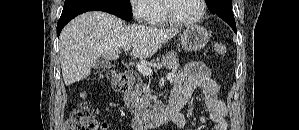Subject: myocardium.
<instances>
[{
	"label": "myocardium",
	"instance_id": "f54148a6",
	"mask_svg": "<svg viewBox=\"0 0 299 130\" xmlns=\"http://www.w3.org/2000/svg\"><path fill=\"white\" fill-rule=\"evenodd\" d=\"M172 0H164L163 1V10L164 14L166 16L167 21L178 24V25H193L202 20L206 13V1L205 0H198L199 1V6H200V11L197 16L190 18V19H183V18H178L176 17L170 10V2Z\"/></svg>",
	"mask_w": 299,
	"mask_h": 130
}]
</instances>
